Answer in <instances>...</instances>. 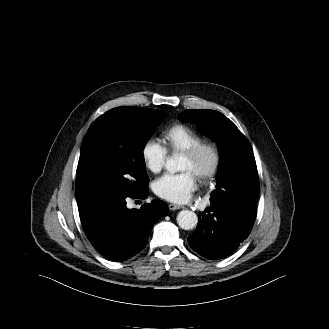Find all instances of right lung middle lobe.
Returning <instances> with one entry per match:
<instances>
[{"label":"right lung middle lobe","mask_w":329,"mask_h":329,"mask_svg":"<svg viewBox=\"0 0 329 329\" xmlns=\"http://www.w3.org/2000/svg\"><path fill=\"white\" fill-rule=\"evenodd\" d=\"M163 112L139 107H117L97 118L81 146L76 190L81 198L96 189L136 195L147 187L143 149Z\"/></svg>","instance_id":"dd1d6c3e"}]
</instances>
